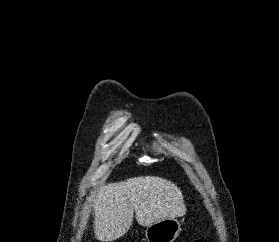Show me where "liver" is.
Instances as JSON below:
<instances>
[{
    "instance_id": "obj_1",
    "label": "liver",
    "mask_w": 279,
    "mask_h": 242,
    "mask_svg": "<svg viewBox=\"0 0 279 242\" xmlns=\"http://www.w3.org/2000/svg\"><path fill=\"white\" fill-rule=\"evenodd\" d=\"M94 205V233L100 241L122 237L132 225L149 226L186 213L183 195L174 183L155 176L134 177L99 189Z\"/></svg>"
}]
</instances>
